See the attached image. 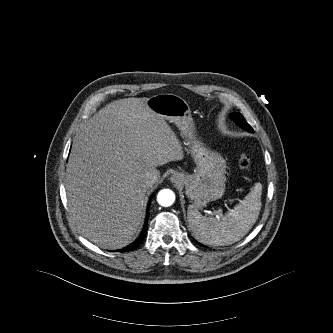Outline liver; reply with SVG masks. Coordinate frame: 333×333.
<instances>
[{
	"instance_id": "1",
	"label": "liver",
	"mask_w": 333,
	"mask_h": 333,
	"mask_svg": "<svg viewBox=\"0 0 333 333\" xmlns=\"http://www.w3.org/2000/svg\"><path fill=\"white\" fill-rule=\"evenodd\" d=\"M148 98L113 101L75 136L66 191L69 211L82 236L103 249L127 246L143 217L152 187L146 174L183 159L181 142Z\"/></svg>"
}]
</instances>
